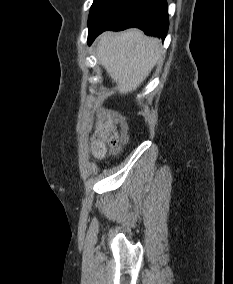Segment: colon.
<instances>
[{
    "label": "colon",
    "instance_id": "colon-1",
    "mask_svg": "<svg viewBox=\"0 0 233 284\" xmlns=\"http://www.w3.org/2000/svg\"><path fill=\"white\" fill-rule=\"evenodd\" d=\"M117 144L116 128L108 116L103 114L92 142V153L96 158H102L109 149L115 148Z\"/></svg>",
    "mask_w": 233,
    "mask_h": 284
}]
</instances>
